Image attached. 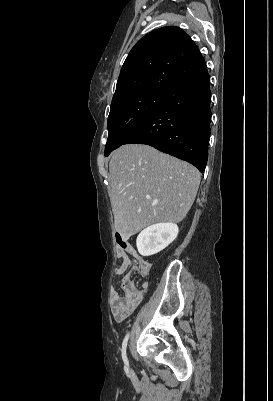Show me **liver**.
I'll return each mask as SVG.
<instances>
[{
    "label": "liver",
    "mask_w": 273,
    "mask_h": 401,
    "mask_svg": "<svg viewBox=\"0 0 273 401\" xmlns=\"http://www.w3.org/2000/svg\"><path fill=\"white\" fill-rule=\"evenodd\" d=\"M116 233L124 239L154 223H180L191 209L200 172L148 144H122L109 162Z\"/></svg>",
    "instance_id": "liver-1"
}]
</instances>
